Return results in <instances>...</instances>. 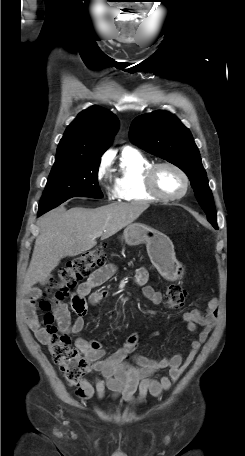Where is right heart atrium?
Wrapping results in <instances>:
<instances>
[{
  "label": "right heart atrium",
  "instance_id": "right-heart-atrium-1",
  "mask_svg": "<svg viewBox=\"0 0 245 456\" xmlns=\"http://www.w3.org/2000/svg\"><path fill=\"white\" fill-rule=\"evenodd\" d=\"M109 178V161L106 158H103L98 165L96 171V179L100 186L103 188L105 194L109 199L117 197V189L114 184L108 182Z\"/></svg>",
  "mask_w": 245,
  "mask_h": 456
}]
</instances>
